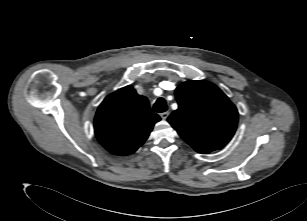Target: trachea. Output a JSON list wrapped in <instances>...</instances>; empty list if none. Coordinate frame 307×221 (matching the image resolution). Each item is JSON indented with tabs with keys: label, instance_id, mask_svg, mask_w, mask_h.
<instances>
[{
	"label": "trachea",
	"instance_id": "1",
	"mask_svg": "<svg viewBox=\"0 0 307 221\" xmlns=\"http://www.w3.org/2000/svg\"><path fill=\"white\" fill-rule=\"evenodd\" d=\"M153 109L157 113H162L167 110V104L164 98H158L154 103Z\"/></svg>",
	"mask_w": 307,
	"mask_h": 221
}]
</instances>
